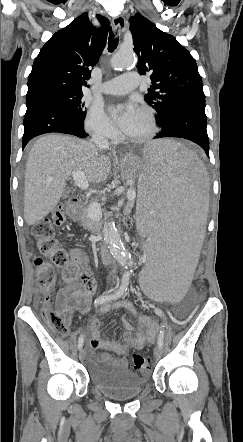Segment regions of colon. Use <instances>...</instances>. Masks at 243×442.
<instances>
[{
  "mask_svg": "<svg viewBox=\"0 0 243 442\" xmlns=\"http://www.w3.org/2000/svg\"><path fill=\"white\" fill-rule=\"evenodd\" d=\"M123 224L125 229L132 227L133 221L132 213L123 214ZM66 216L64 209L58 207L53 212L50 220H41L33 227V235L36 240V246L38 250L48 257H50L52 263L56 266H64L68 262L67 252L59 245L58 240L55 238L54 226H60L65 223ZM34 264L37 269V288L39 294L42 295V316L51 324V326L59 333L66 335L69 331L68 321L66 319L65 312L57 307L53 306L51 292L55 286L56 275L52 265L42 258H36ZM205 264L202 262L197 263L194 276L192 280L194 285L199 283L200 278L203 276ZM151 357L143 356L142 354H134L133 356V368L141 373L149 372L151 369Z\"/></svg>",
  "mask_w": 243,
  "mask_h": 442,
  "instance_id": "5ec220e1",
  "label": "colon"
}]
</instances>
